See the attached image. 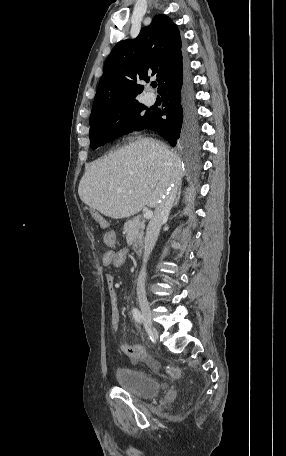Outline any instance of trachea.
<instances>
[{"label":"trachea","mask_w":286,"mask_h":456,"mask_svg":"<svg viewBox=\"0 0 286 456\" xmlns=\"http://www.w3.org/2000/svg\"><path fill=\"white\" fill-rule=\"evenodd\" d=\"M151 85H152V87H154V88L157 87V83H156V82H153Z\"/></svg>","instance_id":"obj_1"}]
</instances>
